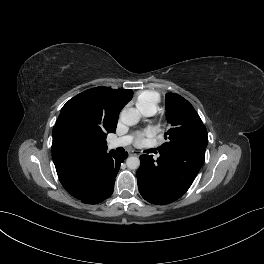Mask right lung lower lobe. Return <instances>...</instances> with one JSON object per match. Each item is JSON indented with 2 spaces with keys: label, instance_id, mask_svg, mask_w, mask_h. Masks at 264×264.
<instances>
[{
  "label": "right lung lower lobe",
  "instance_id": "1",
  "mask_svg": "<svg viewBox=\"0 0 264 264\" xmlns=\"http://www.w3.org/2000/svg\"><path fill=\"white\" fill-rule=\"evenodd\" d=\"M128 153L114 150L98 156L84 165L71 186L64 188L75 198L87 204H97L111 196L115 177Z\"/></svg>",
  "mask_w": 264,
  "mask_h": 264
}]
</instances>
